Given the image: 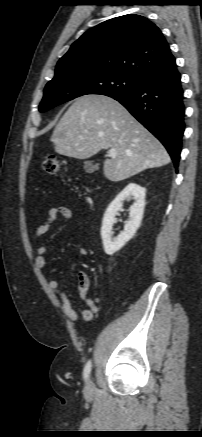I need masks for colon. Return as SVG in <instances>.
<instances>
[{"label":"colon","instance_id":"colon-1","mask_svg":"<svg viewBox=\"0 0 202 437\" xmlns=\"http://www.w3.org/2000/svg\"><path fill=\"white\" fill-rule=\"evenodd\" d=\"M62 168V162L56 156H48L41 162V169L47 174L55 175Z\"/></svg>","mask_w":202,"mask_h":437}]
</instances>
